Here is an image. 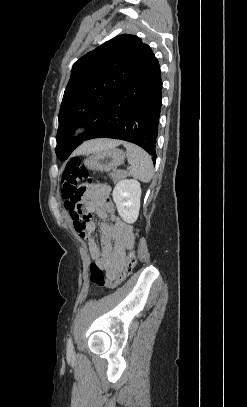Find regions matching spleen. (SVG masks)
<instances>
[{"instance_id": "1", "label": "spleen", "mask_w": 247, "mask_h": 407, "mask_svg": "<svg viewBox=\"0 0 247 407\" xmlns=\"http://www.w3.org/2000/svg\"><path fill=\"white\" fill-rule=\"evenodd\" d=\"M123 145L127 150L130 175L142 182H149L154 172L150 155L132 143L123 142Z\"/></svg>"}]
</instances>
